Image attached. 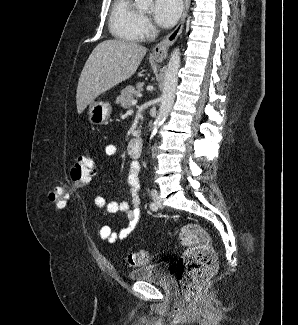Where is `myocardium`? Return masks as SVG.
Returning <instances> with one entry per match:
<instances>
[{
	"label": "myocardium",
	"instance_id": "f54148a6",
	"mask_svg": "<svg viewBox=\"0 0 298 325\" xmlns=\"http://www.w3.org/2000/svg\"><path fill=\"white\" fill-rule=\"evenodd\" d=\"M136 7H137V10H138L139 12H141V13H144V12L146 11V10H144V9L140 6L139 3H137Z\"/></svg>",
	"mask_w": 298,
	"mask_h": 325
}]
</instances>
